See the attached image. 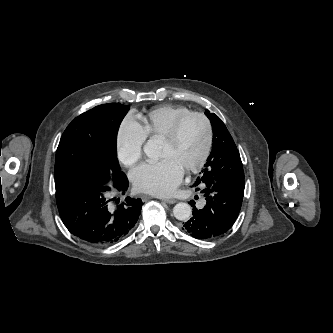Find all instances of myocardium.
<instances>
[{
    "mask_svg": "<svg viewBox=\"0 0 333 333\" xmlns=\"http://www.w3.org/2000/svg\"><path fill=\"white\" fill-rule=\"evenodd\" d=\"M192 118H197L200 119L206 128V142H205V147L204 150L200 156V158L193 163L192 165H189L188 167L185 168V171L187 173H191L194 171L199 170L200 168H202L205 163L207 162L210 153L212 151V147H213V143H214V130H213V126L212 123L210 121V119L201 112H189L183 116H181L179 119H177L174 124L171 126L170 130L168 131V133L163 137L164 141L168 142V143H175L179 137L180 131L183 127V125Z\"/></svg>",
    "mask_w": 333,
    "mask_h": 333,
    "instance_id": "obj_1",
    "label": "myocardium"
}]
</instances>
